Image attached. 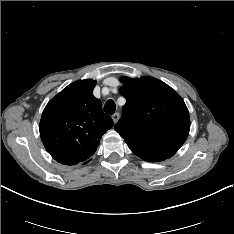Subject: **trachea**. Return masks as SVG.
Returning a JSON list of instances; mask_svg holds the SVG:
<instances>
[{"label":"trachea","instance_id":"3493384b","mask_svg":"<svg viewBox=\"0 0 234 234\" xmlns=\"http://www.w3.org/2000/svg\"><path fill=\"white\" fill-rule=\"evenodd\" d=\"M116 109L115 102L113 100H108L106 104L104 105V111L105 113L112 115L114 114Z\"/></svg>","mask_w":234,"mask_h":234}]
</instances>
